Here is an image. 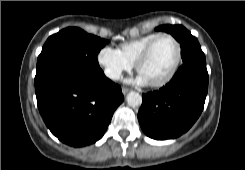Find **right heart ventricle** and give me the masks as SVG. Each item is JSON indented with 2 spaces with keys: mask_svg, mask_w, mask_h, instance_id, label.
<instances>
[{
  "mask_svg": "<svg viewBox=\"0 0 245 170\" xmlns=\"http://www.w3.org/2000/svg\"><path fill=\"white\" fill-rule=\"evenodd\" d=\"M158 34L160 33H150L125 42L120 46V51L133 64L145 46Z\"/></svg>",
  "mask_w": 245,
  "mask_h": 170,
  "instance_id": "right-heart-ventricle-1",
  "label": "right heart ventricle"
}]
</instances>
